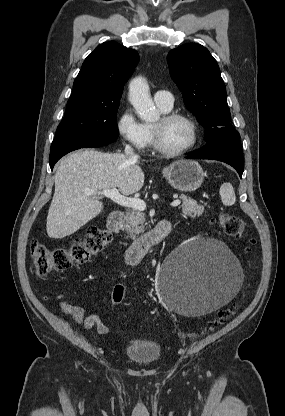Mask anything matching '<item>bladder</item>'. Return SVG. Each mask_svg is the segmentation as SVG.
<instances>
[{"label": "bladder", "instance_id": "31cf9c89", "mask_svg": "<svg viewBox=\"0 0 285 416\" xmlns=\"http://www.w3.org/2000/svg\"><path fill=\"white\" fill-rule=\"evenodd\" d=\"M125 355L136 364L155 362L162 355V348L156 342L148 343L144 339H137L126 346Z\"/></svg>", "mask_w": 285, "mask_h": 416}]
</instances>
